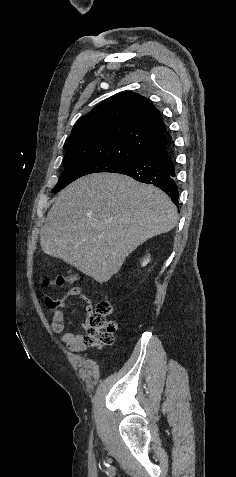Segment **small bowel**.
Returning <instances> with one entry per match:
<instances>
[{"label": "small bowel", "instance_id": "obj_1", "mask_svg": "<svg viewBox=\"0 0 236 477\" xmlns=\"http://www.w3.org/2000/svg\"><path fill=\"white\" fill-rule=\"evenodd\" d=\"M76 296L85 304L86 317L81 324V331L79 333H63L61 341L73 352H81L86 349L84 337L88 328V318L94 313L91 299L82 294L78 288H74L60 299L45 298V303L52 312V330L60 333L64 329V316L61 310L71 298Z\"/></svg>", "mask_w": 236, "mask_h": 477}]
</instances>
